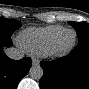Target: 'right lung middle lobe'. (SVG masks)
Masks as SVG:
<instances>
[{"instance_id":"right-lung-middle-lobe-1","label":"right lung middle lobe","mask_w":89,"mask_h":89,"mask_svg":"<svg viewBox=\"0 0 89 89\" xmlns=\"http://www.w3.org/2000/svg\"><path fill=\"white\" fill-rule=\"evenodd\" d=\"M19 27H21V24L17 20L0 18V38L11 37Z\"/></svg>"}]
</instances>
